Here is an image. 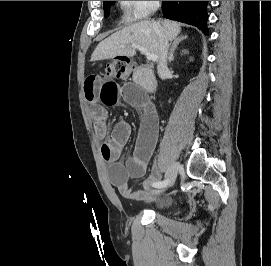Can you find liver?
<instances>
[{"mask_svg":"<svg viewBox=\"0 0 271 266\" xmlns=\"http://www.w3.org/2000/svg\"><path fill=\"white\" fill-rule=\"evenodd\" d=\"M156 26L161 28L167 40H174L181 32L179 23L171 20H163L161 23L153 20H145L132 24L112 34L98 44L94 50L91 61L112 59L117 56L132 57L136 54L130 45L138 44L147 48L150 53L160 58L159 39Z\"/></svg>","mask_w":271,"mask_h":266,"instance_id":"6515ba94","label":"liver"}]
</instances>
